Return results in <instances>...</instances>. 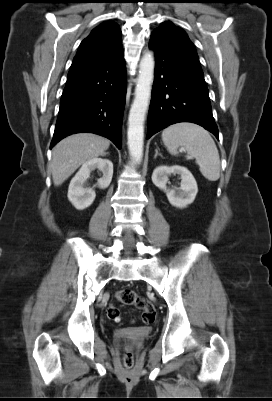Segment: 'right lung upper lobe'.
<instances>
[{"label":"right lung upper lobe","mask_w":272,"mask_h":401,"mask_svg":"<svg viewBox=\"0 0 272 401\" xmlns=\"http://www.w3.org/2000/svg\"><path fill=\"white\" fill-rule=\"evenodd\" d=\"M120 50H122L120 28L112 21L102 23L81 42L68 78L99 65Z\"/></svg>","instance_id":"1"}]
</instances>
